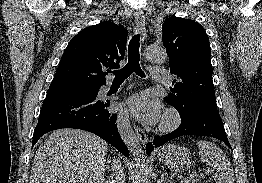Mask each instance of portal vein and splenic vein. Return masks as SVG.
Segmentation results:
<instances>
[{
  "label": "portal vein and splenic vein",
  "instance_id": "18ae733b",
  "mask_svg": "<svg viewBox=\"0 0 262 183\" xmlns=\"http://www.w3.org/2000/svg\"><path fill=\"white\" fill-rule=\"evenodd\" d=\"M212 171H211V169H207V170H205V174H210ZM201 175H203V174H201ZM186 179H182V181H185Z\"/></svg>",
  "mask_w": 262,
  "mask_h": 183
}]
</instances>
